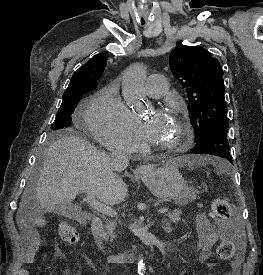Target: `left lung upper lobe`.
<instances>
[{"label": "left lung upper lobe", "mask_w": 263, "mask_h": 275, "mask_svg": "<svg viewBox=\"0 0 263 275\" xmlns=\"http://www.w3.org/2000/svg\"><path fill=\"white\" fill-rule=\"evenodd\" d=\"M169 65L187 92L195 142L217 128L229 126L219 61L202 47L179 44L170 54Z\"/></svg>", "instance_id": "5c2ea615"}]
</instances>
